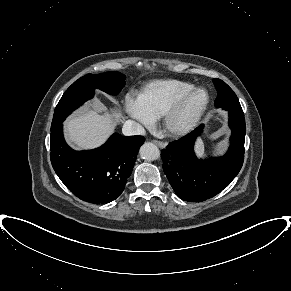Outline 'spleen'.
<instances>
[{
	"label": "spleen",
	"instance_id": "3e777b00",
	"mask_svg": "<svg viewBox=\"0 0 291 291\" xmlns=\"http://www.w3.org/2000/svg\"><path fill=\"white\" fill-rule=\"evenodd\" d=\"M198 150H199V152H203V146H202V144L199 145Z\"/></svg>",
	"mask_w": 291,
	"mask_h": 291
}]
</instances>
